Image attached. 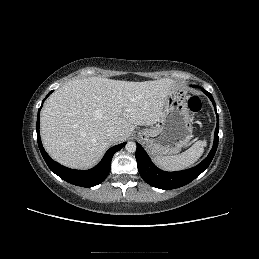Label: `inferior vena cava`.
Wrapping results in <instances>:
<instances>
[{
  "label": "inferior vena cava",
  "mask_w": 259,
  "mask_h": 259,
  "mask_svg": "<svg viewBox=\"0 0 259 259\" xmlns=\"http://www.w3.org/2000/svg\"><path fill=\"white\" fill-rule=\"evenodd\" d=\"M120 136V132L115 128H110L107 130L106 137L108 140L114 142L116 141Z\"/></svg>",
  "instance_id": "obj_1"
}]
</instances>
